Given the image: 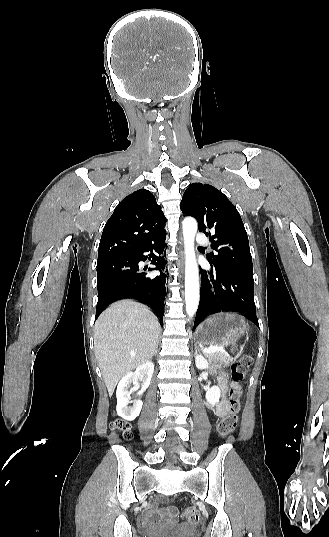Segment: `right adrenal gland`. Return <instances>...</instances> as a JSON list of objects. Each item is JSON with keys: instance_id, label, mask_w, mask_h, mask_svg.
I'll return each instance as SVG.
<instances>
[{"instance_id": "2a0ac1e0", "label": "right adrenal gland", "mask_w": 329, "mask_h": 537, "mask_svg": "<svg viewBox=\"0 0 329 537\" xmlns=\"http://www.w3.org/2000/svg\"><path fill=\"white\" fill-rule=\"evenodd\" d=\"M157 350H158V344H157V347H156L155 352L153 354L154 356L157 354Z\"/></svg>"}]
</instances>
